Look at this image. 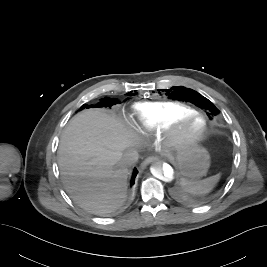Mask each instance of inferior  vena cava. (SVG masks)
Returning <instances> with one entry per match:
<instances>
[{"label":"inferior vena cava","mask_w":267,"mask_h":267,"mask_svg":"<svg viewBox=\"0 0 267 267\" xmlns=\"http://www.w3.org/2000/svg\"><path fill=\"white\" fill-rule=\"evenodd\" d=\"M139 155L136 151H128L123 156V162L128 167L134 165L138 161Z\"/></svg>","instance_id":"obj_1"}]
</instances>
